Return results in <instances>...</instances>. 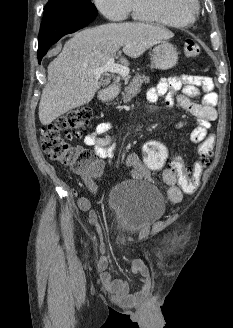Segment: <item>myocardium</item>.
Returning a JSON list of instances; mask_svg holds the SVG:
<instances>
[{
	"mask_svg": "<svg viewBox=\"0 0 233 328\" xmlns=\"http://www.w3.org/2000/svg\"><path fill=\"white\" fill-rule=\"evenodd\" d=\"M184 20L193 22L199 14V0H158Z\"/></svg>",
	"mask_w": 233,
	"mask_h": 328,
	"instance_id": "obj_1",
	"label": "myocardium"
}]
</instances>
